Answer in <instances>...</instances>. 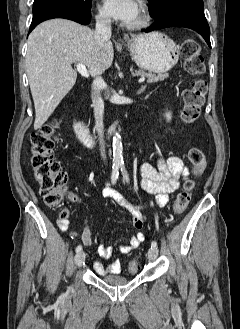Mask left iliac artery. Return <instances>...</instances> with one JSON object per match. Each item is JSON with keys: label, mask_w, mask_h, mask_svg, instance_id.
I'll list each match as a JSON object with an SVG mask.
<instances>
[{"label": "left iliac artery", "mask_w": 240, "mask_h": 329, "mask_svg": "<svg viewBox=\"0 0 240 329\" xmlns=\"http://www.w3.org/2000/svg\"><path fill=\"white\" fill-rule=\"evenodd\" d=\"M121 171H122L123 177H124L125 180L128 182V181H129L128 173H127V171H126V169H125L124 166L121 167ZM152 248H153V249H157V248H158V246H157V242H156V241H152V243H151V249H152Z\"/></svg>", "instance_id": "left-iliac-artery-1"}]
</instances>
